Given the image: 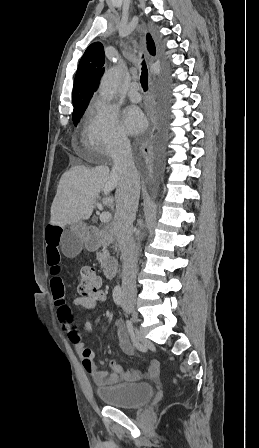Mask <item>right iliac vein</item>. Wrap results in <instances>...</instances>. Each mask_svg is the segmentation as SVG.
<instances>
[{
	"mask_svg": "<svg viewBox=\"0 0 259 448\" xmlns=\"http://www.w3.org/2000/svg\"><path fill=\"white\" fill-rule=\"evenodd\" d=\"M129 312L132 314V320L134 323L138 322V314L136 312V307H135V301L133 300H127L125 302Z\"/></svg>",
	"mask_w": 259,
	"mask_h": 448,
	"instance_id": "obj_1",
	"label": "right iliac vein"
}]
</instances>
